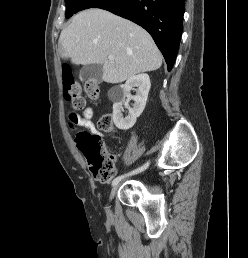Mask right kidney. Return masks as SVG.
I'll use <instances>...</instances> for the list:
<instances>
[{"label":"right kidney","mask_w":248,"mask_h":258,"mask_svg":"<svg viewBox=\"0 0 248 258\" xmlns=\"http://www.w3.org/2000/svg\"><path fill=\"white\" fill-rule=\"evenodd\" d=\"M150 78L147 74H138L126 81L124 85L111 89L108 93L113 104V121L117 128L128 130L134 126L137 117H139L146 105L148 93L150 90ZM137 87L135 96H131L130 91ZM127 98V99H126ZM134 101L132 108L129 107V101ZM123 104L129 109V114L123 117Z\"/></svg>","instance_id":"ca27d5eb"}]
</instances>
